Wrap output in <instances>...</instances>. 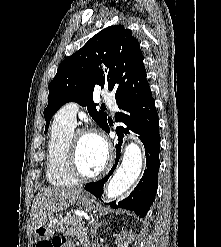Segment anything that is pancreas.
Returning a JSON list of instances; mask_svg holds the SVG:
<instances>
[{
    "instance_id": "pancreas-1",
    "label": "pancreas",
    "mask_w": 221,
    "mask_h": 247,
    "mask_svg": "<svg viewBox=\"0 0 221 247\" xmlns=\"http://www.w3.org/2000/svg\"><path fill=\"white\" fill-rule=\"evenodd\" d=\"M56 230L64 236H75L82 246L87 247L89 239L84 221L79 216L66 217L55 225Z\"/></svg>"
}]
</instances>
